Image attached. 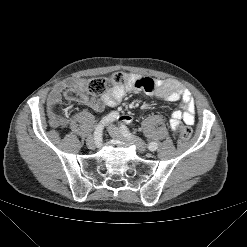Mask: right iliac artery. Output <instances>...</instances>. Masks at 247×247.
Returning a JSON list of instances; mask_svg holds the SVG:
<instances>
[{
	"label": "right iliac artery",
	"instance_id": "obj_1",
	"mask_svg": "<svg viewBox=\"0 0 247 247\" xmlns=\"http://www.w3.org/2000/svg\"><path fill=\"white\" fill-rule=\"evenodd\" d=\"M118 118H119V113L116 111H113L102 118V120L99 122V124L97 125V127L95 128V131H94V138H95V145L96 146L102 145L101 136H102V131L104 129V126L110 122L115 121Z\"/></svg>",
	"mask_w": 247,
	"mask_h": 247
}]
</instances>
